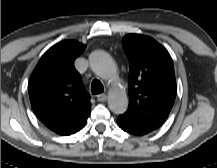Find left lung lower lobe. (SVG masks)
Instances as JSON below:
<instances>
[{
	"label": "left lung lower lobe",
	"instance_id": "left-lung-lower-lobe-1",
	"mask_svg": "<svg viewBox=\"0 0 217 168\" xmlns=\"http://www.w3.org/2000/svg\"><path fill=\"white\" fill-rule=\"evenodd\" d=\"M117 124L125 132H128L130 134H134V135H138V136L146 135V134L154 131V130L149 129V128H143V127L134 125V124L130 123L129 121L125 120L124 118H122L121 116L117 119Z\"/></svg>",
	"mask_w": 217,
	"mask_h": 168
}]
</instances>
